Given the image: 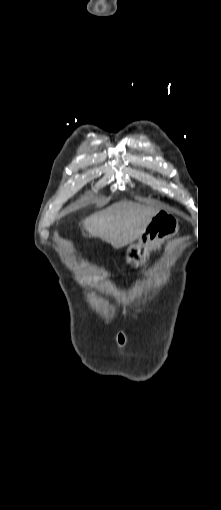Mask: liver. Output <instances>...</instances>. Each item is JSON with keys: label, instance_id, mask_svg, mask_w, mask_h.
I'll list each match as a JSON object with an SVG mask.
<instances>
[{"label": "liver", "instance_id": "1", "mask_svg": "<svg viewBox=\"0 0 221 510\" xmlns=\"http://www.w3.org/2000/svg\"><path fill=\"white\" fill-rule=\"evenodd\" d=\"M158 211L131 201H120L87 217L83 229L87 236L99 237L119 249L139 239Z\"/></svg>", "mask_w": 221, "mask_h": 510}]
</instances>
